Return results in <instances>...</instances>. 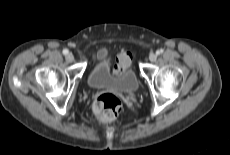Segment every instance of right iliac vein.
<instances>
[{
  "mask_svg": "<svg viewBox=\"0 0 230 155\" xmlns=\"http://www.w3.org/2000/svg\"><path fill=\"white\" fill-rule=\"evenodd\" d=\"M66 61H67V62H73V61H74V56H73L72 53H68V54L66 55Z\"/></svg>",
  "mask_w": 230,
  "mask_h": 155,
  "instance_id": "obj_1",
  "label": "right iliac vein"
}]
</instances>
